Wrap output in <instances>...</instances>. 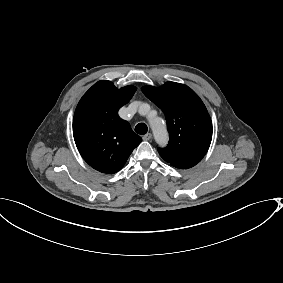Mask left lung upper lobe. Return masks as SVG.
<instances>
[{
    "label": "left lung upper lobe",
    "instance_id": "5c2ea615",
    "mask_svg": "<svg viewBox=\"0 0 283 283\" xmlns=\"http://www.w3.org/2000/svg\"><path fill=\"white\" fill-rule=\"evenodd\" d=\"M143 93L165 114L169 144L159 148L170 165L188 169L207 153L212 139V122L199 96L188 86L166 82L160 89L144 86Z\"/></svg>",
    "mask_w": 283,
    "mask_h": 283
}]
</instances>
